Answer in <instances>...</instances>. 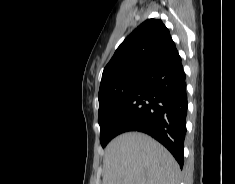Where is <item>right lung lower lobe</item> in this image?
<instances>
[{"instance_id": "obj_1", "label": "right lung lower lobe", "mask_w": 235, "mask_h": 184, "mask_svg": "<svg viewBox=\"0 0 235 184\" xmlns=\"http://www.w3.org/2000/svg\"><path fill=\"white\" fill-rule=\"evenodd\" d=\"M178 51L152 69L134 90L112 131L144 132L163 144L180 167L184 164L187 94Z\"/></svg>"}]
</instances>
